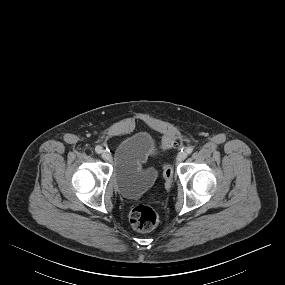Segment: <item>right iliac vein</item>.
<instances>
[{
    "instance_id": "63e3f726",
    "label": "right iliac vein",
    "mask_w": 285,
    "mask_h": 285,
    "mask_svg": "<svg viewBox=\"0 0 285 285\" xmlns=\"http://www.w3.org/2000/svg\"><path fill=\"white\" fill-rule=\"evenodd\" d=\"M101 156L104 160H109L111 158V155L108 151L106 150H103L102 153H101Z\"/></svg>"
}]
</instances>
